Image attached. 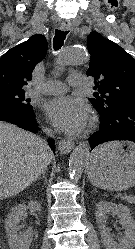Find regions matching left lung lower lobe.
Returning a JSON list of instances; mask_svg holds the SVG:
<instances>
[{
  "label": "left lung lower lobe",
  "instance_id": "0a47b994",
  "mask_svg": "<svg viewBox=\"0 0 135 249\" xmlns=\"http://www.w3.org/2000/svg\"><path fill=\"white\" fill-rule=\"evenodd\" d=\"M113 140L135 142V105L118 104L100 114V129L89 139L91 150Z\"/></svg>",
  "mask_w": 135,
  "mask_h": 249
}]
</instances>
